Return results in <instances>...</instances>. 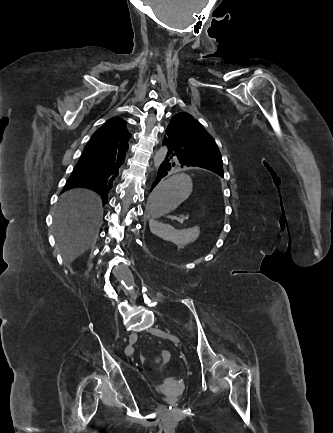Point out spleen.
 I'll return each instance as SVG.
<instances>
[{
	"instance_id": "spleen-1",
	"label": "spleen",
	"mask_w": 333,
	"mask_h": 433,
	"mask_svg": "<svg viewBox=\"0 0 333 433\" xmlns=\"http://www.w3.org/2000/svg\"><path fill=\"white\" fill-rule=\"evenodd\" d=\"M161 183V182H160ZM151 232L157 237L175 243L178 248L194 242L200 234L198 226L189 229L177 230L169 224H164L157 220H149Z\"/></svg>"
}]
</instances>
